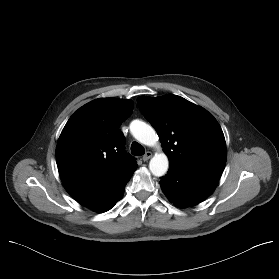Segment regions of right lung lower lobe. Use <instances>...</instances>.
I'll use <instances>...</instances> for the list:
<instances>
[{"instance_id":"98d812e1","label":"right lung lower lobe","mask_w":279,"mask_h":279,"mask_svg":"<svg viewBox=\"0 0 279 279\" xmlns=\"http://www.w3.org/2000/svg\"><path fill=\"white\" fill-rule=\"evenodd\" d=\"M132 174L128 175L111 188L99 194L78 200V202L96 212H106L110 210L116 202L122 198L124 194V187L131 178Z\"/></svg>"}]
</instances>
